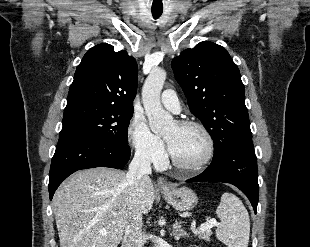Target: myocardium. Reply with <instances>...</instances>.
I'll use <instances>...</instances> for the list:
<instances>
[{
  "instance_id": "myocardium-1",
  "label": "myocardium",
  "mask_w": 310,
  "mask_h": 247,
  "mask_svg": "<svg viewBox=\"0 0 310 247\" xmlns=\"http://www.w3.org/2000/svg\"><path fill=\"white\" fill-rule=\"evenodd\" d=\"M176 125L179 127H182V128H189V127L197 128L205 136V139L207 142L206 155L201 161H199L195 164H191V165L183 164V163L179 162L177 159H175V157L171 154V152H169V159L175 167H177L178 169L187 171V172H198L201 169L205 168L212 161V159L214 157L215 142H214L213 136L210 133V131L205 127V125H203L202 123H200L198 121L183 120V121H178L176 123Z\"/></svg>"
}]
</instances>
